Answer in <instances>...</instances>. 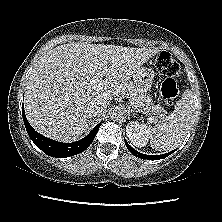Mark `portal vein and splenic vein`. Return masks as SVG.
Here are the masks:
<instances>
[{"label": "portal vein and splenic vein", "instance_id": "18ae733b", "mask_svg": "<svg viewBox=\"0 0 222 222\" xmlns=\"http://www.w3.org/2000/svg\"><path fill=\"white\" fill-rule=\"evenodd\" d=\"M92 82H93V83H97V82H99V79H94ZM131 105H132V104H131ZM153 120H155V119H153Z\"/></svg>", "mask_w": 222, "mask_h": 222}]
</instances>
